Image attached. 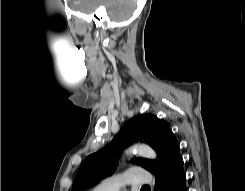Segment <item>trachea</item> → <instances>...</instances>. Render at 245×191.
Returning a JSON list of instances; mask_svg holds the SVG:
<instances>
[{"label": "trachea", "mask_w": 245, "mask_h": 191, "mask_svg": "<svg viewBox=\"0 0 245 191\" xmlns=\"http://www.w3.org/2000/svg\"><path fill=\"white\" fill-rule=\"evenodd\" d=\"M149 188V186H143L141 189H147Z\"/></svg>", "instance_id": "obj_1"}]
</instances>
